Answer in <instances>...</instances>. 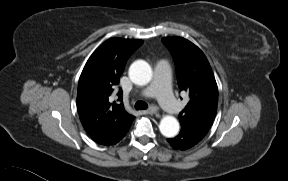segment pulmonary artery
I'll use <instances>...</instances> for the list:
<instances>
[{
	"instance_id": "pulmonary-artery-1",
	"label": "pulmonary artery",
	"mask_w": 288,
	"mask_h": 181,
	"mask_svg": "<svg viewBox=\"0 0 288 181\" xmlns=\"http://www.w3.org/2000/svg\"><path fill=\"white\" fill-rule=\"evenodd\" d=\"M171 69L167 60H160L155 67V79L152 85L139 92L143 98L157 97L162 108L169 114L180 112L181 105L174 98L170 87Z\"/></svg>"
}]
</instances>
